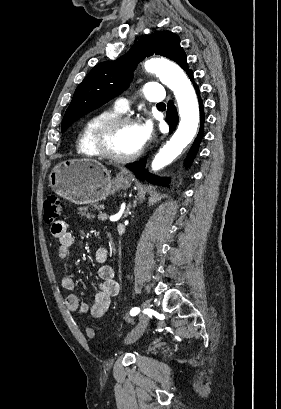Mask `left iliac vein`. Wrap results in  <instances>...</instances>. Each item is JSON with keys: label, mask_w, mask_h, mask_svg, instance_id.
Returning a JSON list of instances; mask_svg holds the SVG:
<instances>
[{"label": "left iliac vein", "mask_w": 281, "mask_h": 409, "mask_svg": "<svg viewBox=\"0 0 281 409\" xmlns=\"http://www.w3.org/2000/svg\"><path fill=\"white\" fill-rule=\"evenodd\" d=\"M142 307L144 308V315L141 317V320L137 327L127 336L126 338V343L131 344L135 342L144 332L147 322H148V316L147 314L151 311V305L148 300L144 301L142 304Z\"/></svg>", "instance_id": "1"}]
</instances>
